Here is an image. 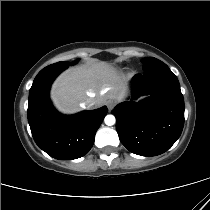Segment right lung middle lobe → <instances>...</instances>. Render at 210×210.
<instances>
[{
  "instance_id": "obj_1",
  "label": "right lung middle lobe",
  "mask_w": 210,
  "mask_h": 210,
  "mask_svg": "<svg viewBox=\"0 0 210 210\" xmlns=\"http://www.w3.org/2000/svg\"><path fill=\"white\" fill-rule=\"evenodd\" d=\"M77 62H78V59L75 60L74 62H64V61H61V62L52 64V66H54V65H65V66H68V65H74V64H76Z\"/></svg>"
}]
</instances>
